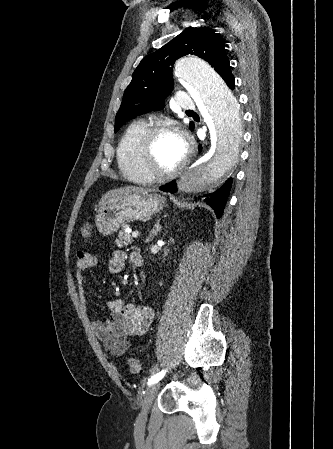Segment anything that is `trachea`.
Returning <instances> with one entry per match:
<instances>
[{"label": "trachea", "mask_w": 333, "mask_h": 449, "mask_svg": "<svg viewBox=\"0 0 333 449\" xmlns=\"http://www.w3.org/2000/svg\"><path fill=\"white\" fill-rule=\"evenodd\" d=\"M186 112H192V111H190V110H187Z\"/></svg>", "instance_id": "3493384b"}]
</instances>
